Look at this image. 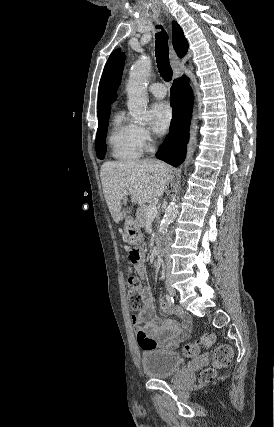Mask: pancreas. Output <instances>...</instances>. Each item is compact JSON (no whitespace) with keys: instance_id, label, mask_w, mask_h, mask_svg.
I'll return each mask as SVG.
<instances>
[{"instance_id":"pancreas-1","label":"pancreas","mask_w":274,"mask_h":427,"mask_svg":"<svg viewBox=\"0 0 274 427\" xmlns=\"http://www.w3.org/2000/svg\"><path fill=\"white\" fill-rule=\"evenodd\" d=\"M148 206H140V208H138L137 210V215H136V221L139 225V227H145L146 225V210H147Z\"/></svg>"}]
</instances>
